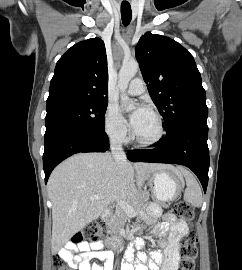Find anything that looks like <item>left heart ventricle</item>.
Masks as SVG:
<instances>
[{
    "instance_id": "b2bd125f",
    "label": "left heart ventricle",
    "mask_w": 242,
    "mask_h": 270,
    "mask_svg": "<svg viewBox=\"0 0 242 270\" xmlns=\"http://www.w3.org/2000/svg\"><path fill=\"white\" fill-rule=\"evenodd\" d=\"M135 136L141 140H151L156 137L158 133V125L155 117L148 113L139 126L134 129Z\"/></svg>"
}]
</instances>
